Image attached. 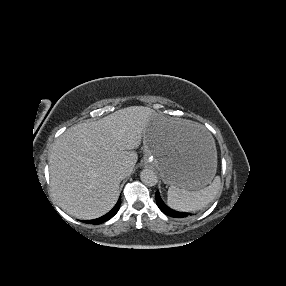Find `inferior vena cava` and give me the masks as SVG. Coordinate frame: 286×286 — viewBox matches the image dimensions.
I'll return each mask as SVG.
<instances>
[{
	"label": "inferior vena cava",
	"mask_w": 286,
	"mask_h": 286,
	"mask_svg": "<svg viewBox=\"0 0 286 286\" xmlns=\"http://www.w3.org/2000/svg\"><path fill=\"white\" fill-rule=\"evenodd\" d=\"M114 173L116 174V176H118L119 178H125L127 176V170L124 166L122 165H117L114 168Z\"/></svg>",
	"instance_id": "inferior-vena-cava-1"
}]
</instances>
